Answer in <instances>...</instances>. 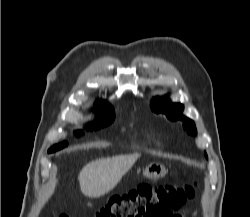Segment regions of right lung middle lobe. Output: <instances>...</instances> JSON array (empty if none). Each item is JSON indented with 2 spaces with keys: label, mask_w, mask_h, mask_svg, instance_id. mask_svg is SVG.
<instances>
[{
  "label": "right lung middle lobe",
  "mask_w": 250,
  "mask_h": 217,
  "mask_svg": "<svg viewBox=\"0 0 250 217\" xmlns=\"http://www.w3.org/2000/svg\"><path fill=\"white\" fill-rule=\"evenodd\" d=\"M114 117H115L114 112L103 115V116L99 117V120L96 123H93L91 125V128H94L96 130V129H99L103 126H106L113 121ZM81 133H82L81 131H78L77 135H80ZM66 146H68L67 142H62L60 144L54 145L48 150V153L55 152V151L60 150Z\"/></svg>",
  "instance_id": "1"
}]
</instances>
